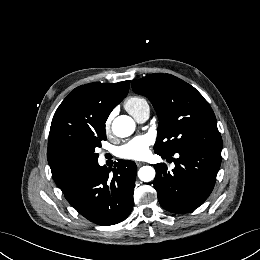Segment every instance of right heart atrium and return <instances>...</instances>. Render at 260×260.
Returning a JSON list of instances; mask_svg holds the SVG:
<instances>
[{"instance_id": "d8ad5b80", "label": "right heart atrium", "mask_w": 260, "mask_h": 260, "mask_svg": "<svg viewBox=\"0 0 260 260\" xmlns=\"http://www.w3.org/2000/svg\"><path fill=\"white\" fill-rule=\"evenodd\" d=\"M109 121H110V119H108V121H107V125L109 124Z\"/></svg>"}]
</instances>
